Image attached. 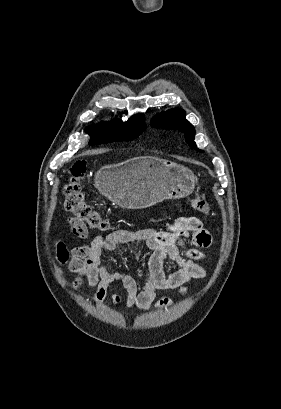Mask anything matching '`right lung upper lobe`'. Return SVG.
<instances>
[{"label":"right lung upper lobe","mask_w":281,"mask_h":409,"mask_svg":"<svg viewBox=\"0 0 281 409\" xmlns=\"http://www.w3.org/2000/svg\"><path fill=\"white\" fill-rule=\"evenodd\" d=\"M140 125H145L144 116L142 114L135 115V116L131 117L126 123H123V122L118 121V120H114L112 122H102V123H99L98 125H93L91 127H95V128H125V127L140 126Z\"/></svg>","instance_id":"right-lung-upper-lobe-1"}]
</instances>
